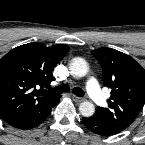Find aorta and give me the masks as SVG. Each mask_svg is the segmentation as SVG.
I'll use <instances>...</instances> for the list:
<instances>
[{
  "label": "aorta",
  "instance_id": "762f6f07",
  "mask_svg": "<svg viewBox=\"0 0 145 145\" xmlns=\"http://www.w3.org/2000/svg\"><path fill=\"white\" fill-rule=\"evenodd\" d=\"M69 70L74 77H83L88 72L87 62L80 57L73 58L69 63ZM79 111L84 117H90L95 112L94 104L88 101L82 102Z\"/></svg>",
  "mask_w": 145,
  "mask_h": 145
}]
</instances>
